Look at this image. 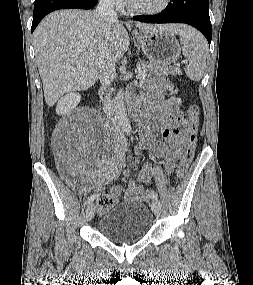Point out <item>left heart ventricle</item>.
I'll return each mask as SVG.
<instances>
[{
  "instance_id": "obj_1",
  "label": "left heart ventricle",
  "mask_w": 253,
  "mask_h": 285,
  "mask_svg": "<svg viewBox=\"0 0 253 285\" xmlns=\"http://www.w3.org/2000/svg\"><path fill=\"white\" fill-rule=\"evenodd\" d=\"M164 0H131L133 6L141 9H154L163 4Z\"/></svg>"
}]
</instances>
